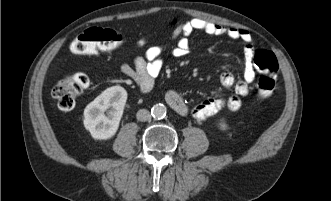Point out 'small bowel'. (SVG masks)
<instances>
[{"mask_svg": "<svg viewBox=\"0 0 331 201\" xmlns=\"http://www.w3.org/2000/svg\"><path fill=\"white\" fill-rule=\"evenodd\" d=\"M195 31H200L210 36L224 35L231 39L243 41L245 43V68L243 77L236 80L229 69H225L221 73V85L225 88L234 89V93L226 98L221 96L209 97L198 105L190 108L179 93L174 90H169L165 94L166 102L177 113L181 115L191 114L196 120H204L224 108L233 112L238 111L242 105L241 97L248 94L250 85L253 83L256 76L253 66L255 46L252 34L246 29L226 27L199 18H192L188 21L174 24L171 37L174 46L169 49L168 54L173 58L186 56L190 51L189 37ZM146 42L147 38H141L138 40L137 45L143 47ZM164 51V46L149 47L144 55L137 56L134 59L133 66L123 64L120 70L124 75L131 78L142 92H148L152 89L154 79L158 76L163 67Z\"/></svg>", "mask_w": 331, "mask_h": 201, "instance_id": "1", "label": "small bowel"}]
</instances>
